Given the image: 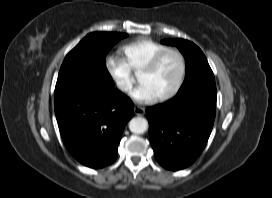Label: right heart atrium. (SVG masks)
<instances>
[{
  "instance_id": "right-heart-atrium-1",
  "label": "right heart atrium",
  "mask_w": 272,
  "mask_h": 198,
  "mask_svg": "<svg viewBox=\"0 0 272 198\" xmlns=\"http://www.w3.org/2000/svg\"><path fill=\"white\" fill-rule=\"evenodd\" d=\"M104 67L115 87L122 94H127L132 88L134 76L127 62L117 55H107Z\"/></svg>"
}]
</instances>
